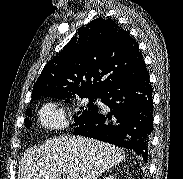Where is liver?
Wrapping results in <instances>:
<instances>
[{
    "label": "liver",
    "mask_w": 183,
    "mask_h": 179,
    "mask_svg": "<svg viewBox=\"0 0 183 179\" xmlns=\"http://www.w3.org/2000/svg\"><path fill=\"white\" fill-rule=\"evenodd\" d=\"M125 159L115 146L80 136H62L26 150L20 179H98Z\"/></svg>",
    "instance_id": "1"
}]
</instances>
